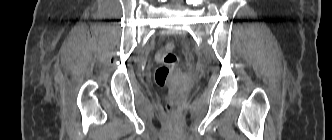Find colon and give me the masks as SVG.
I'll return each mask as SVG.
<instances>
[{"mask_svg": "<svg viewBox=\"0 0 332 140\" xmlns=\"http://www.w3.org/2000/svg\"><path fill=\"white\" fill-rule=\"evenodd\" d=\"M156 61L160 64L155 72V81L158 86L168 88L169 79L173 70L179 64V57L173 51V45L168 44L156 53ZM165 108L168 112H172L173 103L166 101Z\"/></svg>", "mask_w": 332, "mask_h": 140, "instance_id": "obj_1", "label": "colon"}]
</instances>
